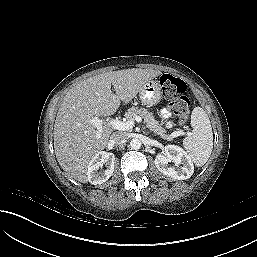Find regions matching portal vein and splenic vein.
Returning <instances> with one entry per match:
<instances>
[{"label": "portal vein and splenic vein", "mask_w": 257, "mask_h": 257, "mask_svg": "<svg viewBox=\"0 0 257 257\" xmlns=\"http://www.w3.org/2000/svg\"><path fill=\"white\" fill-rule=\"evenodd\" d=\"M134 121L140 123L142 121V118L140 116H136L133 120H128L126 122L120 121L118 119H107V120H102L99 119L98 117H93L89 120L90 123H92L98 130L102 128L103 124H108L112 126L116 130H122V131H127L129 129H132L134 126ZM184 134L182 130L175 131L171 134L172 137H177Z\"/></svg>", "instance_id": "1"}]
</instances>
